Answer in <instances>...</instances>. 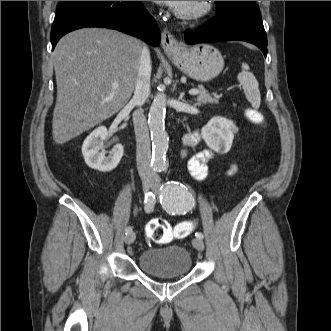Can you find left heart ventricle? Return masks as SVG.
<instances>
[{
    "label": "left heart ventricle",
    "instance_id": "left-heart-ventricle-1",
    "mask_svg": "<svg viewBox=\"0 0 331 331\" xmlns=\"http://www.w3.org/2000/svg\"><path fill=\"white\" fill-rule=\"evenodd\" d=\"M197 1H182L181 4L178 6L180 9H191L194 7Z\"/></svg>",
    "mask_w": 331,
    "mask_h": 331
}]
</instances>
